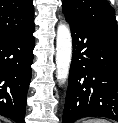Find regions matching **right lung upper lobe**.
I'll list each match as a JSON object with an SVG mask.
<instances>
[{
  "label": "right lung upper lobe",
  "mask_w": 118,
  "mask_h": 123,
  "mask_svg": "<svg viewBox=\"0 0 118 123\" xmlns=\"http://www.w3.org/2000/svg\"><path fill=\"white\" fill-rule=\"evenodd\" d=\"M32 0H0V40L20 36L34 29Z\"/></svg>",
  "instance_id": "1"
}]
</instances>
